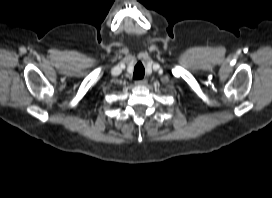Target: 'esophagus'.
I'll list each match as a JSON object with an SVG mask.
<instances>
[{
	"label": "esophagus",
	"mask_w": 272,
	"mask_h": 198,
	"mask_svg": "<svg viewBox=\"0 0 272 198\" xmlns=\"http://www.w3.org/2000/svg\"><path fill=\"white\" fill-rule=\"evenodd\" d=\"M146 84V81H137L136 82V85L137 86H143V85H145Z\"/></svg>",
	"instance_id": "1"
}]
</instances>
